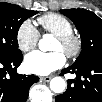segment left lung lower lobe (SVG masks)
Returning <instances> with one entry per match:
<instances>
[{
	"label": "left lung lower lobe",
	"instance_id": "left-lung-lower-lobe-1",
	"mask_svg": "<svg viewBox=\"0 0 102 102\" xmlns=\"http://www.w3.org/2000/svg\"><path fill=\"white\" fill-rule=\"evenodd\" d=\"M61 73H75L77 77L68 80L67 90L56 96V102H102V60L82 61Z\"/></svg>",
	"mask_w": 102,
	"mask_h": 102
}]
</instances>
